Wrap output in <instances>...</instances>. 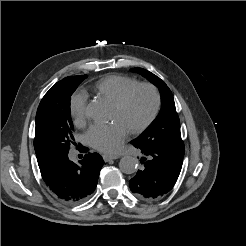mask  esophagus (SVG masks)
I'll use <instances>...</instances> for the list:
<instances>
[{"instance_id": "obj_1", "label": "esophagus", "mask_w": 246, "mask_h": 246, "mask_svg": "<svg viewBox=\"0 0 246 246\" xmlns=\"http://www.w3.org/2000/svg\"><path fill=\"white\" fill-rule=\"evenodd\" d=\"M119 156L118 155H103V160L105 162H109L111 160H115V159H118Z\"/></svg>"}]
</instances>
